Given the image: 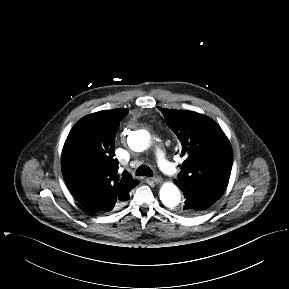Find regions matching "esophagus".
<instances>
[{
    "label": "esophagus",
    "mask_w": 289,
    "mask_h": 289,
    "mask_svg": "<svg viewBox=\"0 0 289 289\" xmlns=\"http://www.w3.org/2000/svg\"><path fill=\"white\" fill-rule=\"evenodd\" d=\"M151 181L158 184V183H161L162 182V178L159 177V176H154L151 178Z\"/></svg>",
    "instance_id": "34e87169"
}]
</instances>
